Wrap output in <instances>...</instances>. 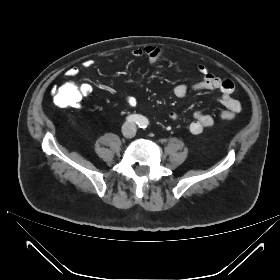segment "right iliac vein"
Listing matches in <instances>:
<instances>
[{"instance_id":"63e3f726","label":"right iliac vein","mask_w":280,"mask_h":280,"mask_svg":"<svg viewBox=\"0 0 280 280\" xmlns=\"http://www.w3.org/2000/svg\"><path fill=\"white\" fill-rule=\"evenodd\" d=\"M122 133L125 137H128L130 134V127L129 126H125L122 130Z\"/></svg>"}]
</instances>
